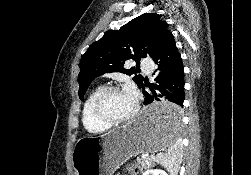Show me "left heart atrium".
Returning a JSON list of instances; mask_svg holds the SVG:
<instances>
[{"label":"left heart atrium","mask_w":251,"mask_h":175,"mask_svg":"<svg viewBox=\"0 0 251 175\" xmlns=\"http://www.w3.org/2000/svg\"><path fill=\"white\" fill-rule=\"evenodd\" d=\"M126 98L133 104L137 102V92L135 87L132 84H128L125 86L123 90Z\"/></svg>","instance_id":"39dd6f15"}]
</instances>
